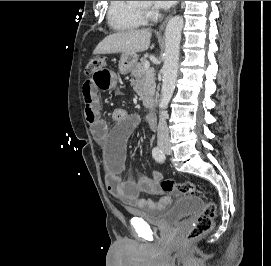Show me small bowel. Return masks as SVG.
Segmentation results:
<instances>
[{
	"mask_svg": "<svg viewBox=\"0 0 271 266\" xmlns=\"http://www.w3.org/2000/svg\"><path fill=\"white\" fill-rule=\"evenodd\" d=\"M90 74L82 89L84 111L92 137L106 147L104 172L107 189L130 207L144 211L164 210L172 202L170 196L165 195L157 200L140 196L142 193L156 195L162 193L159 187V182L163 178L161 172L153 170L151 178L142 176L137 180H124L121 177L126 160V142L135 127L136 119L129 116L124 109H116L112 113L115 127L110 130L101 117L99 100V91L115 88L117 72L107 64L93 70Z\"/></svg>",
	"mask_w": 271,
	"mask_h": 266,
	"instance_id": "1",
	"label": "small bowel"
}]
</instances>
